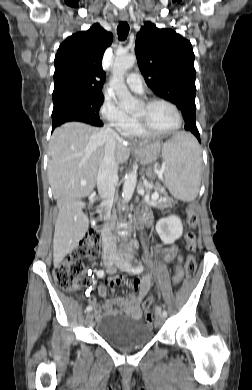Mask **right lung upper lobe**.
Wrapping results in <instances>:
<instances>
[{"label":"right lung upper lobe","instance_id":"cb5924a9","mask_svg":"<svg viewBox=\"0 0 252 390\" xmlns=\"http://www.w3.org/2000/svg\"><path fill=\"white\" fill-rule=\"evenodd\" d=\"M112 33L98 23L68 37L55 56L53 101L73 96L101 97L105 72L102 57Z\"/></svg>","mask_w":252,"mask_h":390}]
</instances>
